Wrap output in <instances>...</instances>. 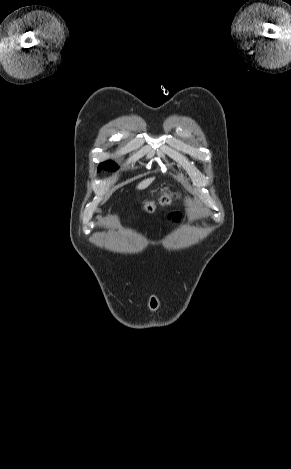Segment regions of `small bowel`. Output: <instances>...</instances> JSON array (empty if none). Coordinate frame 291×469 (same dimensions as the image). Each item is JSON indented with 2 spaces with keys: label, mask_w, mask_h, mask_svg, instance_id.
<instances>
[{
  "label": "small bowel",
  "mask_w": 291,
  "mask_h": 469,
  "mask_svg": "<svg viewBox=\"0 0 291 469\" xmlns=\"http://www.w3.org/2000/svg\"><path fill=\"white\" fill-rule=\"evenodd\" d=\"M174 219H175L176 221H178V220H179V215H175V216H174Z\"/></svg>",
  "instance_id": "small-bowel-1"
}]
</instances>
